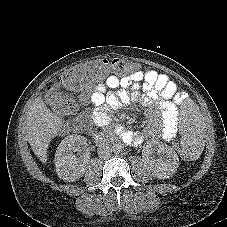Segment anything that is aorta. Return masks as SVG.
<instances>
[{"label":"aorta","instance_id":"obj_1","mask_svg":"<svg viewBox=\"0 0 227 227\" xmlns=\"http://www.w3.org/2000/svg\"><path fill=\"white\" fill-rule=\"evenodd\" d=\"M123 146L120 143H116L112 146V151L116 154H119L122 152Z\"/></svg>","mask_w":227,"mask_h":227}]
</instances>
